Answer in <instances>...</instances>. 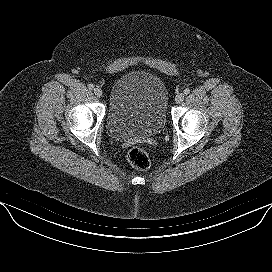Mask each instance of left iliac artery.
Returning a JSON list of instances; mask_svg holds the SVG:
<instances>
[{"label":"left iliac artery","mask_w":272,"mask_h":272,"mask_svg":"<svg viewBox=\"0 0 272 272\" xmlns=\"http://www.w3.org/2000/svg\"><path fill=\"white\" fill-rule=\"evenodd\" d=\"M183 92H184L185 95H188L190 93V89L186 88Z\"/></svg>","instance_id":"44dca946"}]
</instances>
